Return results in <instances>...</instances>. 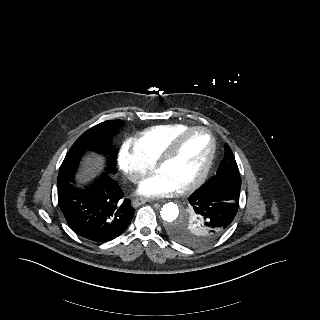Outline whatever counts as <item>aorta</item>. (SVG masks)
Returning a JSON list of instances; mask_svg holds the SVG:
<instances>
[{
    "label": "aorta",
    "mask_w": 320,
    "mask_h": 320,
    "mask_svg": "<svg viewBox=\"0 0 320 320\" xmlns=\"http://www.w3.org/2000/svg\"><path fill=\"white\" fill-rule=\"evenodd\" d=\"M160 215L165 222H172L176 220L179 215V207L172 202L166 203L162 206Z\"/></svg>",
    "instance_id": "1"
}]
</instances>
